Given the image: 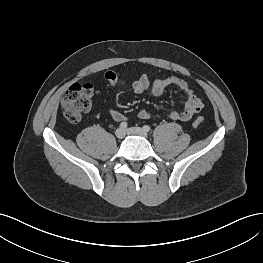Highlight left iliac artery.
<instances>
[{
  "label": "left iliac artery",
  "instance_id": "left-iliac-artery-1",
  "mask_svg": "<svg viewBox=\"0 0 263 263\" xmlns=\"http://www.w3.org/2000/svg\"><path fill=\"white\" fill-rule=\"evenodd\" d=\"M143 130L146 131V132H149L150 131V126L144 125L143 126Z\"/></svg>",
  "mask_w": 263,
  "mask_h": 263
}]
</instances>
